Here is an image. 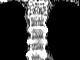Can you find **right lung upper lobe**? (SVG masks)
Masks as SVG:
<instances>
[{
    "label": "right lung upper lobe",
    "mask_w": 80,
    "mask_h": 60,
    "mask_svg": "<svg viewBox=\"0 0 80 60\" xmlns=\"http://www.w3.org/2000/svg\"><path fill=\"white\" fill-rule=\"evenodd\" d=\"M25 11L16 2L0 6V50L3 54L22 55L27 51Z\"/></svg>",
    "instance_id": "right-lung-upper-lobe-1"
}]
</instances>
